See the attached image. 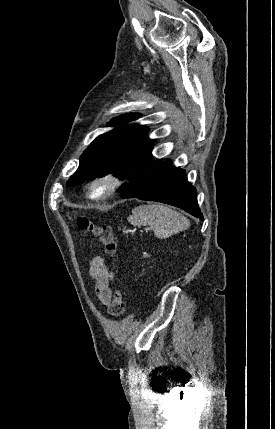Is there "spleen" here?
Returning <instances> with one entry per match:
<instances>
[{
    "mask_svg": "<svg viewBox=\"0 0 275 429\" xmlns=\"http://www.w3.org/2000/svg\"><path fill=\"white\" fill-rule=\"evenodd\" d=\"M128 221L134 225H148L157 238L165 239L189 227V220L168 206L141 205L132 210Z\"/></svg>",
    "mask_w": 275,
    "mask_h": 429,
    "instance_id": "obj_1",
    "label": "spleen"
}]
</instances>
